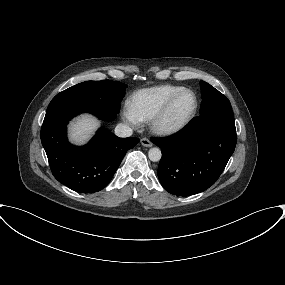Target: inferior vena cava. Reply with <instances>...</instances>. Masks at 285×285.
Returning a JSON list of instances; mask_svg holds the SVG:
<instances>
[{
    "instance_id": "inferior-vena-cava-1",
    "label": "inferior vena cava",
    "mask_w": 285,
    "mask_h": 285,
    "mask_svg": "<svg viewBox=\"0 0 285 285\" xmlns=\"http://www.w3.org/2000/svg\"><path fill=\"white\" fill-rule=\"evenodd\" d=\"M133 133V130L125 125V124H118L115 128V135L121 138L130 137Z\"/></svg>"
}]
</instances>
